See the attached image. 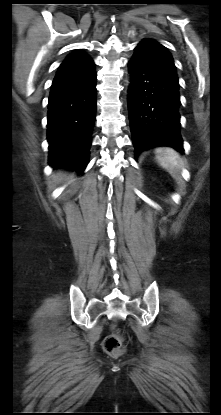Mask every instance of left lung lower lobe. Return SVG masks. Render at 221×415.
<instances>
[{
    "instance_id": "obj_1",
    "label": "left lung lower lobe",
    "mask_w": 221,
    "mask_h": 415,
    "mask_svg": "<svg viewBox=\"0 0 221 415\" xmlns=\"http://www.w3.org/2000/svg\"><path fill=\"white\" fill-rule=\"evenodd\" d=\"M129 122L135 158L148 148L169 146L183 152L178 79L153 63L132 57L128 62Z\"/></svg>"
}]
</instances>
